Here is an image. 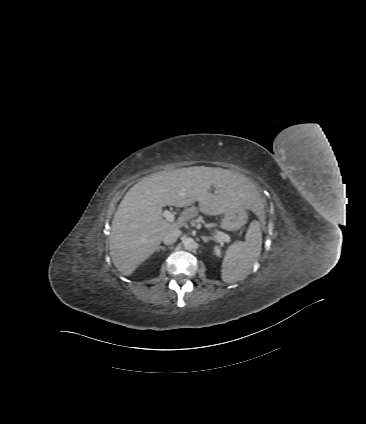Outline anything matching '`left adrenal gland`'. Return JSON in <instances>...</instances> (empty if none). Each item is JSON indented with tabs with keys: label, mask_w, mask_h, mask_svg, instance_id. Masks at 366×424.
Here are the masks:
<instances>
[{
	"label": "left adrenal gland",
	"mask_w": 366,
	"mask_h": 424,
	"mask_svg": "<svg viewBox=\"0 0 366 424\" xmlns=\"http://www.w3.org/2000/svg\"><path fill=\"white\" fill-rule=\"evenodd\" d=\"M202 240H203L205 243H208L210 240L216 241V240H215V238H214V237H212V236H210V237L202 236Z\"/></svg>",
	"instance_id": "left-adrenal-gland-1"
}]
</instances>
